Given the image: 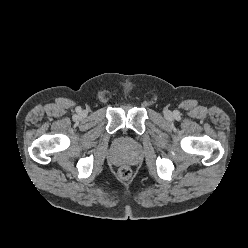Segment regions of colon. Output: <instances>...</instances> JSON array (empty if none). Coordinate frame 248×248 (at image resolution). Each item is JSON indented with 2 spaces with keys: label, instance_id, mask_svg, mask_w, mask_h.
Instances as JSON below:
<instances>
[{
  "label": "colon",
  "instance_id": "colon-1",
  "mask_svg": "<svg viewBox=\"0 0 248 248\" xmlns=\"http://www.w3.org/2000/svg\"><path fill=\"white\" fill-rule=\"evenodd\" d=\"M131 169L127 166H123L118 170V177L122 180H128L131 176Z\"/></svg>",
  "mask_w": 248,
  "mask_h": 248
}]
</instances>
